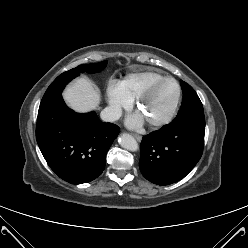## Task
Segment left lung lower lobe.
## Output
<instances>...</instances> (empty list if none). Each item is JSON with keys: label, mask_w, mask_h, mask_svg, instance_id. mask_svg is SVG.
<instances>
[{"label": "left lung lower lobe", "mask_w": 248, "mask_h": 248, "mask_svg": "<svg viewBox=\"0 0 248 248\" xmlns=\"http://www.w3.org/2000/svg\"><path fill=\"white\" fill-rule=\"evenodd\" d=\"M204 112L176 117L170 124L143 137L140 171L150 182L168 185L184 178L203 152Z\"/></svg>", "instance_id": "0a47b994"}]
</instances>
